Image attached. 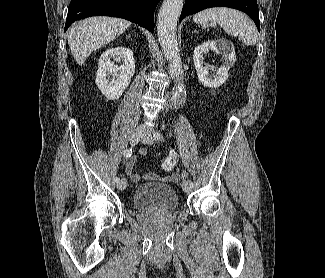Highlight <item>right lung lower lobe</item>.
I'll use <instances>...</instances> for the list:
<instances>
[{"label": "right lung lower lobe", "instance_id": "obj_1", "mask_svg": "<svg viewBox=\"0 0 325 278\" xmlns=\"http://www.w3.org/2000/svg\"><path fill=\"white\" fill-rule=\"evenodd\" d=\"M160 0H71L64 31L90 16H115L154 32V11Z\"/></svg>", "mask_w": 325, "mask_h": 278}]
</instances>
